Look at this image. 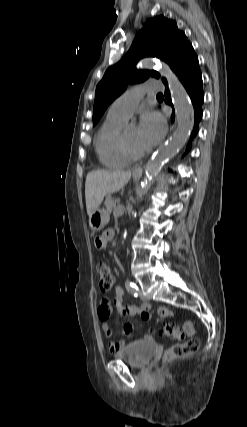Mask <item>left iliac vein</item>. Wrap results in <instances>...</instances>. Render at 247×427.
Here are the masks:
<instances>
[{
  "label": "left iliac vein",
  "instance_id": "obj_1",
  "mask_svg": "<svg viewBox=\"0 0 247 427\" xmlns=\"http://www.w3.org/2000/svg\"><path fill=\"white\" fill-rule=\"evenodd\" d=\"M139 296H140V298L142 299V300H149V297L147 296V295H145V294H142L141 292H139Z\"/></svg>",
  "mask_w": 247,
  "mask_h": 427
}]
</instances>
